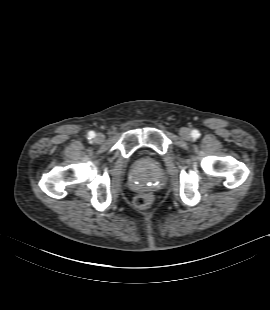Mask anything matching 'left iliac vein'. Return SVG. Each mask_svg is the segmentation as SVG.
Instances as JSON below:
<instances>
[{"mask_svg": "<svg viewBox=\"0 0 270 310\" xmlns=\"http://www.w3.org/2000/svg\"><path fill=\"white\" fill-rule=\"evenodd\" d=\"M179 135L184 140H190L191 139V131L188 128H181L179 130Z\"/></svg>", "mask_w": 270, "mask_h": 310, "instance_id": "4c4485c4", "label": "left iliac vein"}]
</instances>
